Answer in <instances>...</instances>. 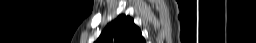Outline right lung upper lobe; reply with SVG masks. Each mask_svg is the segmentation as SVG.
I'll use <instances>...</instances> for the list:
<instances>
[{
    "label": "right lung upper lobe",
    "mask_w": 256,
    "mask_h": 43,
    "mask_svg": "<svg viewBox=\"0 0 256 43\" xmlns=\"http://www.w3.org/2000/svg\"><path fill=\"white\" fill-rule=\"evenodd\" d=\"M97 43H145V39L130 16L119 15L106 26Z\"/></svg>",
    "instance_id": "right-lung-upper-lobe-1"
}]
</instances>
